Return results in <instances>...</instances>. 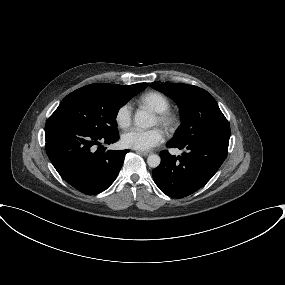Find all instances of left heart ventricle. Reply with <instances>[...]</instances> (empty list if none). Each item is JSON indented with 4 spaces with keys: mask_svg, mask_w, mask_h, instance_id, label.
Returning <instances> with one entry per match:
<instances>
[{
    "mask_svg": "<svg viewBox=\"0 0 285 285\" xmlns=\"http://www.w3.org/2000/svg\"><path fill=\"white\" fill-rule=\"evenodd\" d=\"M154 124H158L157 118L154 119Z\"/></svg>",
    "mask_w": 285,
    "mask_h": 285,
    "instance_id": "1",
    "label": "left heart ventricle"
}]
</instances>
